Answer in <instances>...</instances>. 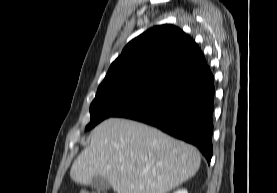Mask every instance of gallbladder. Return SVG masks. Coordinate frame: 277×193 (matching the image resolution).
Here are the masks:
<instances>
[{
    "instance_id": "gallbladder-1",
    "label": "gallbladder",
    "mask_w": 277,
    "mask_h": 193,
    "mask_svg": "<svg viewBox=\"0 0 277 193\" xmlns=\"http://www.w3.org/2000/svg\"><path fill=\"white\" fill-rule=\"evenodd\" d=\"M91 186L96 190L103 191L104 193L111 188V185L108 183V181L100 176L93 178Z\"/></svg>"
}]
</instances>
